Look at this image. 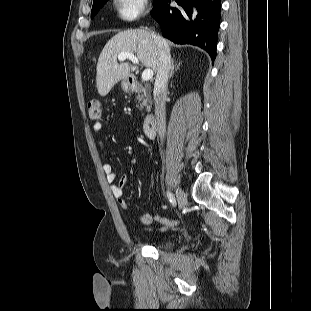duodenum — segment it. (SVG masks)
Instances as JSON below:
<instances>
[{
    "label": "duodenum",
    "mask_w": 311,
    "mask_h": 311,
    "mask_svg": "<svg viewBox=\"0 0 311 311\" xmlns=\"http://www.w3.org/2000/svg\"><path fill=\"white\" fill-rule=\"evenodd\" d=\"M129 83L132 87H137V81L134 78H131L129 80ZM157 127V120L153 113H150L147 115V117L144 120L143 125V132L147 138H152L155 135Z\"/></svg>",
    "instance_id": "1"
}]
</instances>
